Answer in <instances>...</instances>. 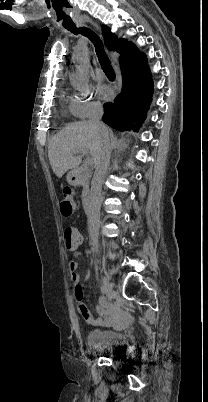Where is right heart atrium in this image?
<instances>
[{"label": "right heart atrium", "mask_w": 208, "mask_h": 402, "mask_svg": "<svg viewBox=\"0 0 208 402\" xmlns=\"http://www.w3.org/2000/svg\"><path fill=\"white\" fill-rule=\"evenodd\" d=\"M102 104L93 87L78 90L73 98L72 110L77 118L86 119L99 112Z\"/></svg>", "instance_id": "d8ad5b80"}]
</instances>
